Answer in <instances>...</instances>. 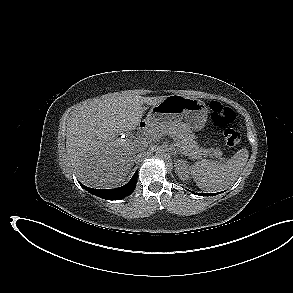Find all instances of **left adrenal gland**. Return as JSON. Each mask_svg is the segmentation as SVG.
Here are the masks:
<instances>
[{"label":"left adrenal gland","mask_w":293,"mask_h":293,"mask_svg":"<svg viewBox=\"0 0 293 293\" xmlns=\"http://www.w3.org/2000/svg\"><path fill=\"white\" fill-rule=\"evenodd\" d=\"M179 151H180L179 149L173 147V155H174V156H175Z\"/></svg>","instance_id":"a2214340"}]
</instances>
